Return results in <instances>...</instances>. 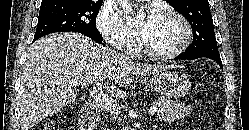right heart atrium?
Listing matches in <instances>:
<instances>
[{"label": "right heart atrium", "instance_id": "right-heart-atrium-1", "mask_svg": "<svg viewBox=\"0 0 249 130\" xmlns=\"http://www.w3.org/2000/svg\"><path fill=\"white\" fill-rule=\"evenodd\" d=\"M96 26L103 38L125 53H133L138 44L136 33L112 9L102 7L96 17Z\"/></svg>", "mask_w": 249, "mask_h": 130}]
</instances>
